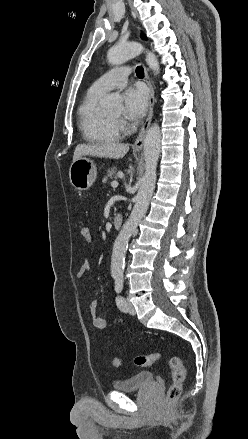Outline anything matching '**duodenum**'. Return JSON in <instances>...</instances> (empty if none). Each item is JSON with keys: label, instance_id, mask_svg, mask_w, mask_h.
<instances>
[{"label": "duodenum", "instance_id": "duodenum-1", "mask_svg": "<svg viewBox=\"0 0 248 439\" xmlns=\"http://www.w3.org/2000/svg\"><path fill=\"white\" fill-rule=\"evenodd\" d=\"M123 223V215L121 213H116L113 218V226L116 229H119Z\"/></svg>", "mask_w": 248, "mask_h": 439}]
</instances>
